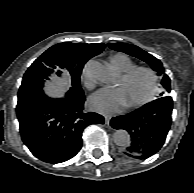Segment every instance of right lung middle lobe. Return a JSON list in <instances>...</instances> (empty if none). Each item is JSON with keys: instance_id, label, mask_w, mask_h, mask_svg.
Here are the masks:
<instances>
[{"instance_id": "right-lung-middle-lobe-1", "label": "right lung middle lobe", "mask_w": 194, "mask_h": 193, "mask_svg": "<svg viewBox=\"0 0 194 193\" xmlns=\"http://www.w3.org/2000/svg\"><path fill=\"white\" fill-rule=\"evenodd\" d=\"M82 67H72L68 69L72 79V87L66 94V97H77L83 95V90L80 86V74ZM49 76H45L33 70H28L24 74L22 84L18 92V104L47 98L42 90L45 80H49ZM57 76H61L58 73Z\"/></svg>"}]
</instances>
